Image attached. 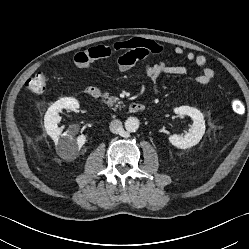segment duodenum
Returning <instances> with one entry per match:
<instances>
[{
  "instance_id": "1",
  "label": "duodenum",
  "mask_w": 249,
  "mask_h": 249,
  "mask_svg": "<svg viewBox=\"0 0 249 249\" xmlns=\"http://www.w3.org/2000/svg\"><path fill=\"white\" fill-rule=\"evenodd\" d=\"M86 93L92 99H100L102 97V91L95 86H90L86 89ZM146 109V105L142 102H132L129 105V112L131 113H141Z\"/></svg>"
}]
</instances>
